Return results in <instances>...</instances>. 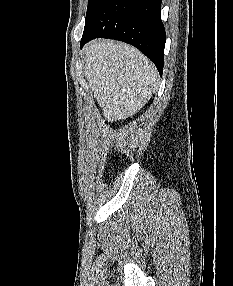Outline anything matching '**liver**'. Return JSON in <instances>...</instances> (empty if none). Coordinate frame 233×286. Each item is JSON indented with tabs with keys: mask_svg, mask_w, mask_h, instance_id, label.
I'll list each match as a JSON object with an SVG mask.
<instances>
[{
	"mask_svg": "<svg viewBox=\"0 0 233 286\" xmlns=\"http://www.w3.org/2000/svg\"><path fill=\"white\" fill-rule=\"evenodd\" d=\"M83 52L85 77L109 122L133 116L158 87L157 69L131 45L99 39Z\"/></svg>",
	"mask_w": 233,
	"mask_h": 286,
	"instance_id": "1",
	"label": "liver"
}]
</instances>
